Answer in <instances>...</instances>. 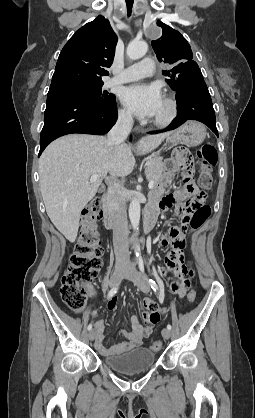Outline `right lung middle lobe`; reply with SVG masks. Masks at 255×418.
<instances>
[{
    "label": "right lung middle lobe",
    "instance_id": "dd1d6c3e",
    "mask_svg": "<svg viewBox=\"0 0 255 418\" xmlns=\"http://www.w3.org/2000/svg\"><path fill=\"white\" fill-rule=\"evenodd\" d=\"M103 82H72L50 86V95H77L96 101L103 105H110L115 101V96L102 92Z\"/></svg>",
    "mask_w": 255,
    "mask_h": 418
}]
</instances>
